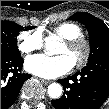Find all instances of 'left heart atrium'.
Returning a JSON list of instances; mask_svg holds the SVG:
<instances>
[{
    "instance_id": "obj_1",
    "label": "left heart atrium",
    "mask_w": 109,
    "mask_h": 109,
    "mask_svg": "<svg viewBox=\"0 0 109 109\" xmlns=\"http://www.w3.org/2000/svg\"><path fill=\"white\" fill-rule=\"evenodd\" d=\"M73 66L74 64L65 54L57 56L37 54L25 60V68L28 72L46 79L63 76L70 72Z\"/></svg>"
}]
</instances>
